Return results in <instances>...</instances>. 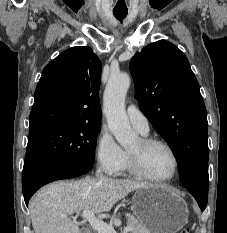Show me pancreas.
<instances>
[{
    "label": "pancreas",
    "instance_id": "obj_1",
    "mask_svg": "<svg viewBox=\"0 0 227 233\" xmlns=\"http://www.w3.org/2000/svg\"><path fill=\"white\" fill-rule=\"evenodd\" d=\"M127 225L131 228V233H151L140 220L132 215L128 216Z\"/></svg>",
    "mask_w": 227,
    "mask_h": 233
}]
</instances>
